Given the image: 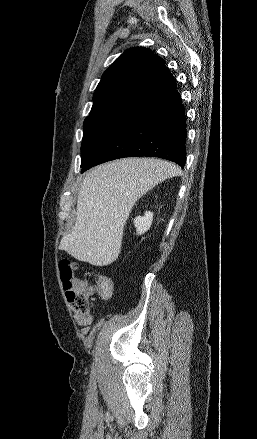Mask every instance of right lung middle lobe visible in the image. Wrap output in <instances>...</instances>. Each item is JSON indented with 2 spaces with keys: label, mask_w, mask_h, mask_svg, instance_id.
<instances>
[{
  "label": "right lung middle lobe",
  "mask_w": 257,
  "mask_h": 439,
  "mask_svg": "<svg viewBox=\"0 0 257 439\" xmlns=\"http://www.w3.org/2000/svg\"><path fill=\"white\" fill-rule=\"evenodd\" d=\"M126 119L123 116L99 115L87 117L83 124L81 167H83L110 134Z\"/></svg>",
  "instance_id": "dd1d6c3e"
}]
</instances>
